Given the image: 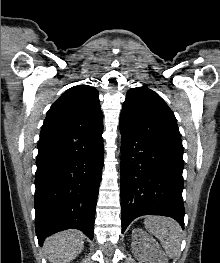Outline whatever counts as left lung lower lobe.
Wrapping results in <instances>:
<instances>
[{"label":"left lung lower lobe","instance_id":"0a47b994","mask_svg":"<svg viewBox=\"0 0 220 263\" xmlns=\"http://www.w3.org/2000/svg\"><path fill=\"white\" fill-rule=\"evenodd\" d=\"M122 233L136 217L163 215L184 228L183 154L120 126Z\"/></svg>","mask_w":220,"mask_h":263}]
</instances>
